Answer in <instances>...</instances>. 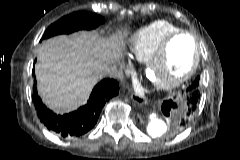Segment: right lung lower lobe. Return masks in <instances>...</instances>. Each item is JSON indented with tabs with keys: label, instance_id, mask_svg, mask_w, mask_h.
<instances>
[{
	"label": "right lung lower lobe",
	"instance_id": "98d812e1",
	"mask_svg": "<svg viewBox=\"0 0 240 160\" xmlns=\"http://www.w3.org/2000/svg\"><path fill=\"white\" fill-rule=\"evenodd\" d=\"M35 84L33 102L40 121L48 130L64 138L80 137L90 131L106 101L119 93L116 80L104 79L94 87L86 105L69 114L57 115L42 103Z\"/></svg>",
	"mask_w": 240,
	"mask_h": 160
}]
</instances>
